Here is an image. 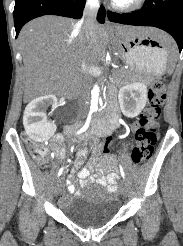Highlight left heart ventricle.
<instances>
[{"mask_svg": "<svg viewBox=\"0 0 183 246\" xmlns=\"http://www.w3.org/2000/svg\"><path fill=\"white\" fill-rule=\"evenodd\" d=\"M116 1H119V2H128L130 0H116Z\"/></svg>", "mask_w": 183, "mask_h": 246, "instance_id": "b2bd125f", "label": "left heart ventricle"}]
</instances>
